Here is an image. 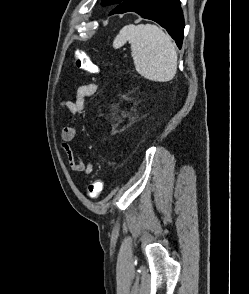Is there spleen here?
I'll use <instances>...</instances> for the list:
<instances>
[{"label": "spleen", "instance_id": "obj_1", "mask_svg": "<svg viewBox=\"0 0 249 294\" xmlns=\"http://www.w3.org/2000/svg\"><path fill=\"white\" fill-rule=\"evenodd\" d=\"M131 45L136 71L146 79L167 82L177 72V52L171 37L153 24L126 25L113 41L114 48Z\"/></svg>", "mask_w": 249, "mask_h": 294}]
</instances>
